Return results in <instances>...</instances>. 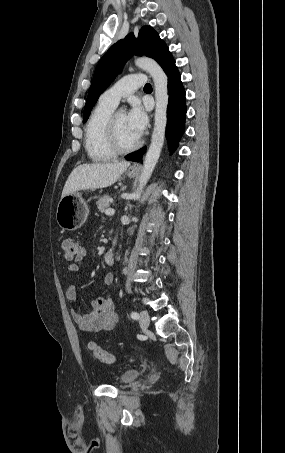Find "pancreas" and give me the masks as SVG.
I'll use <instances>...</instances> for the list:
<instances>
[{"label": "pancreas", "instance_id": "obj_1", "mask_svg": "<svg viewBox=\"0 0 285 453\" xmlns=\"http://www.w3.org/2000/svg\"><path fill=\"white\" fill-rule=\"evenodd\" d=\"M112 200V197L108 194L104 195L97 201V208L100 212H105L106 209H108L110 202Z\"/></svg>", "mask_w": 285, "mask_h": 453}]
</instances>
